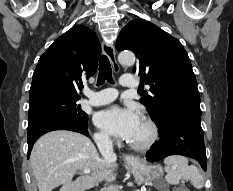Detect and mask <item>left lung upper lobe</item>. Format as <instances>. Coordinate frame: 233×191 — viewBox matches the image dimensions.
Masks as SVG:
<instances>
[{
	"label": "left lung upper lobe",
	"instance_id": "left-lung-upper-lobe-1",
	"mask_svg": "<svg viewBox=\"0 0 233 191\" xmlns=\"http://www.w3.org/2000/svg\"><path fill=\"white\" fill-rule=\"evenodd\" d=\"M119 51L132 50L139 63L133 71L150 85L140 102L150 117L162 123L174 112L201 114L200 94L190 59L180 41L144 19L130 21L116 41Z\"/></svg>",
	"mask_w": 233,
	"mask_h": 191
}]
</instances>
